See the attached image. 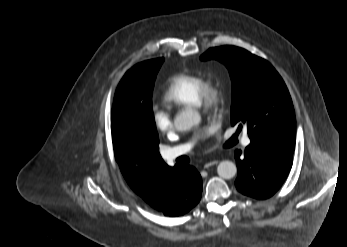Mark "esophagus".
Listing matches in <instances>:
<instances>
[{
  "label": "esophagus",
  "instance_id": "obj_1",
  "mask_svg": "<svg viewBox=\"0 0 347 247\" xmlns=\"http://www.w3.org/2000/svg\"><path fill=\"white\" fill-rule=\"evenodd\" d=\"M218 163H219L218 160H210L204 164V168L208 169L209 167H211L213 165H217Z\"/></svg>",
  "mask_w": 347,
  "mask_h": 247
}]
</instances>
